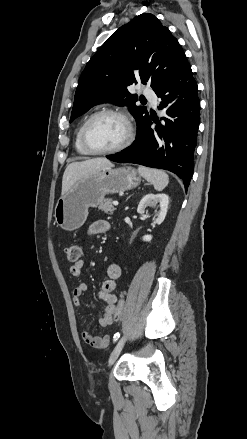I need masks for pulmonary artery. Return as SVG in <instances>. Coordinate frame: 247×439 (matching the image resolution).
Masks as SVG:
<instances>
[{
  "label": "pulmonary artery",
  "mask_w": 247,
  "mask_h": 439,
  "mask_svg": "<svg viewBox=\"0 0 247 439\" xmlns=\"http://www.w3.org/2000/svg\"><path fill=\"white\" fill-rule=\"evenodd\" d=\"M143 93L154 105H156V95L149 87H143Z\"/></svg>",
  "instance_id": "e3ab8cb5"
}]
</instances>
